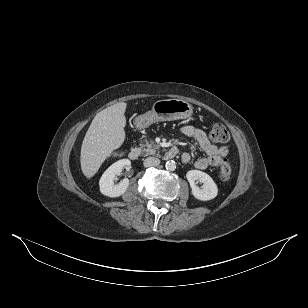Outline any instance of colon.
I'll return each instance as SVG.
<instances>
[{"mask_svg": "<svg viewBox=\"0 0 308 308\" xmlns=\"http://www.w3.org/2000/svg\"><path fill=\"white\" fill-rule=\"evenodd\" d=\"M210 137L214 142L225 143L229 140V132L222 124H215L210 132ZM234 172V165L231 161L223 159L218 167V177L227 181L231 178Z\"/></svg>", "mask_w": 308, "mask_h": 308, "instance_id": "5ec220e1", "label": "colon"}]
</instances>
